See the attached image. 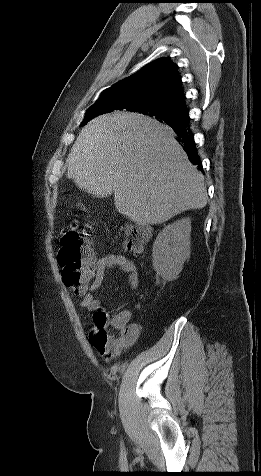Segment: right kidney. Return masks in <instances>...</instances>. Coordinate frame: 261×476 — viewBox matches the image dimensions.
<instances>
[{
	"label": "right kidney",
	"instance_id": "obj_1",
	"mask_svg": "<svg viewBox=\"0 0 261 476\" xmlns=\"http://www.w3.org/2000/svg\"><path fill=\"white\" fill-rule=\"evenodd\" d=\"M191 221L178 220L158 234L153 244V268L164 280L176 279L190 254Z\"/></svg>",
	"mask_w": 261,
	"mask_h": 476
}]
</instances>
